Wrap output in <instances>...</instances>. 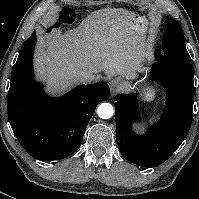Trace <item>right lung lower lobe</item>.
Segmentation results:
<instances>
[{"label":"right lung lower lobe","mask_w":199,"mask_h":199,"mask_svg":"<svg viewBox=\"0 0 199 199\" xmlns=\"http://www.w3.org/2000/svg\"><path fill=\"white\" fill-rule=\"evenodd\" d=\"M33 50L16 62L7 98L8 119L22 147L42 161L60 160L81 146L96 106L110 95L104 82L79 85L60 98L33 80Z\"/></svg>","instance_id":"98d812e1"}]
</instances>
